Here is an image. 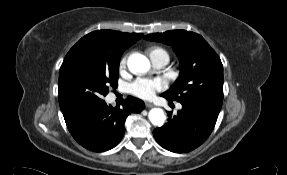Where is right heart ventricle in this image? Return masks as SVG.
Returning a JSON list of instances; mask_svg holds the SVG:
<instances>
[{"label": "right heart ventricle", "mask_w": 287, "mask_h": 175, "mask_svg": "<svg viewBox=\"0 0 287 175\" xmlns=\"http://www.w3.org/2000/svg\"><path fill=\"white\" fill-rule=\"evenodd\" d=\"M158 53H165V54H167V52L164 49L159 48V47H154V48L150 49V56H153V55L158 54Z\"/></svg>", "instance_id": "e07e8e85"}]
</instances>
